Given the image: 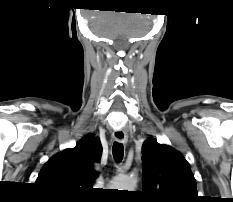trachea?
<instances>
[{
	"mask_svg": "<svg viewBox=\"0 0 233 202\" xmlns=\"http://www.w3.org/2000/svg\"><path fill=\"white\" fill-rule=\"evenodd\" d=\"M112 153L116 162H121L124 155V147L123 144L114 142L112 147Z\"/></svg>",
	"mask_w": 233,
	"mask_h": 202,
	"instance_id": "trachea-1",
	"label": "trachea"
}]
</instances>
